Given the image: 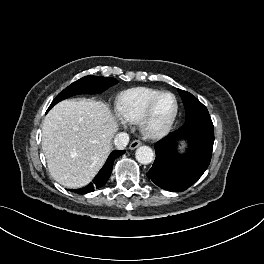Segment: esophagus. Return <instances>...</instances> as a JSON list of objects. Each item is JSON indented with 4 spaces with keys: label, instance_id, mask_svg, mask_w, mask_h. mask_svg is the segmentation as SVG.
Here are the masks:
<instances>
[{
    "label": "esophagus",
    "instance_id": "1",
    "mask_svg": "<svg viewBox=\"0 0 264 264\" xmlns=\"http://www.w3.org/2000/svg\"><path fill=\"white\" fill-rule=\"evenodd\" d=\"M141 144H142L141 141H139V140H134V141H132V142L130 143V145H129V149H130V150H134V149H136L137 147H139Z\"/></svg>",
    "mask_w": 264,
    "mask_h": 264
}]
</instances>
